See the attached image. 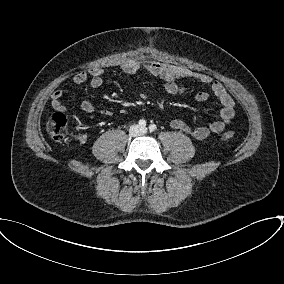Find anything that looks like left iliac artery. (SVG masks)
<instances>
[{
  "label": "left iliac artery",
  "mask_w": 284,
  "mask_h": 284,
  "mask_svg": "<svg viewBox=\"0 0 284 284\" xmlns=\"http://www.w3.org/2000/svg\"><path fill=\"white\" fill-rule=\"evenodd\" d=\"M149 130H150V132L155 131L156 130V125L155 124H150L149 125Z\"/></svg>",
  "instance_id": "left-iliac-artery-1"
}]
</instances>
